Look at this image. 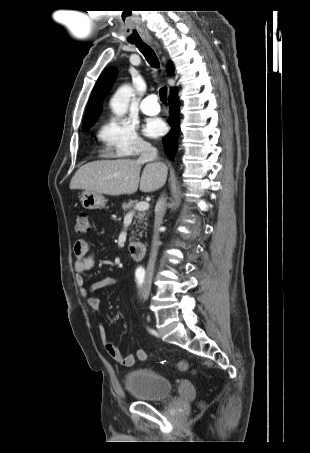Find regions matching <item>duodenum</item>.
Segmentation results:
<instances>
[{"instance_id": "duodenum-1", "label": "duodenum", "mask_w": 310, "mask_h": 453, "mask_svg": "<svg viewBox=\"0 0 310 453\" xmlns=\"http://www.w3.org/2000/svg\"><path fill=\"white\" fill-rule=\"evenodd\" d=\"M146 251V245L142 242H131L129 244V252L134 260H142L146 255Z\"/></svg>"}]
</instances>
